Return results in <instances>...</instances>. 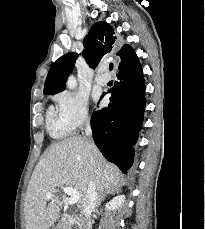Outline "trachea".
Returning <instances> with one entry per match:
<instances>
[{"instance_id":"1","label":"trachea","mask_w":205,"mask_h":229,"mask_svg":"<svg viewBox=\"0 0 205 229\" xmlns=\"http://www.w3.org/2000/svg\"><path fill=\"white\" fill-rule=\"evenodd\" d=\"M109 68H110V70H112V69H113V65L111 64V65L109 66Z\"/></svg>"}]
</instances>
